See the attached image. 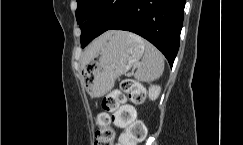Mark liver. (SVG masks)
<instances>
[{"instance_id": "liver-1", "label": "liver", "mask_w": 243, "mask_h": 145, "mask_svg": "<svg viewBox=\"0 0 243 145\" xmlns=\"http://www.w3.org/2000/svg\"><path fill=\"white\" fill-rule=\"evenodd\" d=\"M110 33L111 32L105 33L104 35H102L101 37H99L98 39L93 41L88 46V48L84 52L82 63L87 62L91 58V56L94 54V52H96L99 49V47L102 45V43L109 37Z\"/></svg>"}]
</instances>
